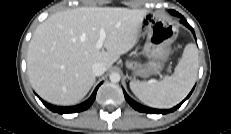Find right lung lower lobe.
<instances>
[{"instance_id": "obj_1", "label": "right lung lower lobe", "mask_w": 231, "mask_h": 134, "mask_svg": "<svg viewBox=\"0 0 231 134\" xmlns=\"http://www.w3.org/2000/svg\"><path fill=\"white\" fill-rule=\"evenodd\" d=\"M100 85H101V83L96 87V89L94 90L93 94L91 95V97L87 101H85L82 104L77 105V106H73V107H56V106H53V105H50V104L44 102L43 100H41V101L51 111L58 112L60 114L74 113V112L84 111L87 108H89L91 106V104L94 102L95 97H96L97 89L99 88Z\"/></svg>"}]
</instances>
